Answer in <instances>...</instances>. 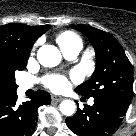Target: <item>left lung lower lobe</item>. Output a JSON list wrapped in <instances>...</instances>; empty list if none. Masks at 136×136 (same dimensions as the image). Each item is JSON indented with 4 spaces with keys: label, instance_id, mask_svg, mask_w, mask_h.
<instances>
[{
    "label": "left lung lower lobe",
    "instance_id": "left-lung-lower-lobe-1",
    "mask_svg": "<svg viewBox=\"0 0 136 136\" xmlns=\"http://www.w3.org/2000/svg\"><path fill=\"white\" fill-rule=\"evenodd\" d=\"M129 102L111 98H94V105L77 109L67 118L69 129L80 136H109L126 114Z\"/></svg>",
    "mask_w": 136,
    "mask_h": 136
}]
</instances>
